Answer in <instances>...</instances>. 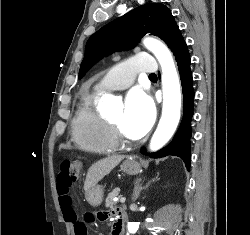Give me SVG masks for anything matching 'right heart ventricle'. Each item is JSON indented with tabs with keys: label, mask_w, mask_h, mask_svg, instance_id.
Listing matches in <instances>:
<instances>
[{
	"label": "right heart ventricle",
	"mask_w": 250,
	"mask_h": 235,
	"mask_svg": "<svg viewBox=\"0 0 250 235\" xmlns=\"http://www.w3.org/2000/svg\"><path fill=\"white\" fill-rule=\"evenodd\" d=\"M99 96V92L93 90L80 99L72 121V137L79 149L105 154L116 151L119 142L98 111Z\"/></svg>",
	"instance_id": "1"
}]
</instances>
